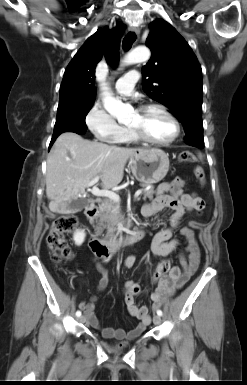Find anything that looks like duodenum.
<instances>
[{"label": "duodenum", "instance_id": "1", "mask_svg": "<svg viewBox=\"0 0 247 385\" xmlns=\"http://www.w3.org/2000/svg\"><path fill=\"white\" fill-rule=\"evenodd\" d=\"M99 210L96 206L86 208L85 215L90 222H94L98 216ZM145 227H139L132 230L129 234L121 236L113 241H104L98 237H93L89 241L91 250L100 257L108 258L113 256L123 245L139 241L145 234Z\"/></svg>", "mask_w": 247, "mask_h": 385}]
</instances>
